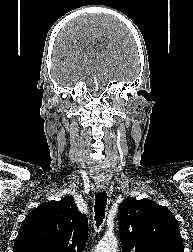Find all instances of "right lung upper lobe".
<instances>
[{
  "instance_id": "cb5924a9",
  "label": "right lung upper lobe",
  "mask_w": 193,
  "mask_h": 252,
  "mask_svg": "<svg viewBox=\"0 0 193 252\" xmlns=\"http://www.w3.org/2000/svg\"><path fill=\"white\" fill-rule=\"evenodd\" d=\"M87 221L72 197L44 202L23 220L14 252H81L88 237Z\"/></svg>"
}]
</instances>
